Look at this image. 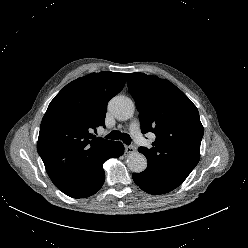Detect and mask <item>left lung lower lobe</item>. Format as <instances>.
<instances>
[{
  "label": "left lung lower lobe",
  "mask_w": 248,
  "mask_h": 248,
  "mask_svg": "<svg viewBox=\"0 0 248 248\" xmlns=\"http://www.w3.org/2000/svg\"><path fill=\"white\" fill-rule=\"evenodd\" d=\"M134 182L145 192L159 195L177 188L175 184L163 178L158 171L146 169L141 173H133Z\"/></svg>",
  "instance_id": "obj_1"
}]
</instances>
